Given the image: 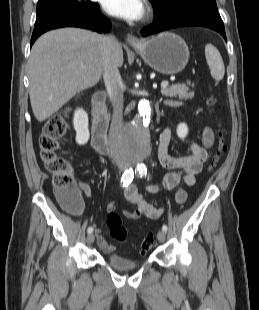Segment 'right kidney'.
<instances>
[{"label": "right kidney", "mask_w": 259, "mask_h": 310, "mask_svg": "<svg viewBox=\"0 0 259 310\" xmlns=\"http://www.w3.org/2000/svg\"><path fill=\"white\" fill-rule=\"evenodd\" d=\"M74 129L76 130V142L84 145L90 138L88 129V115L83 109H77L73 118Z\"/></svg>", "instance_id": "obj_1"}]
</instances>
